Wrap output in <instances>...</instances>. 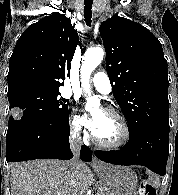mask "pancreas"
<instances>
[{
    "label": "pancreas",
    "mask_w": 178,
    "mask_h": 195,
    "mask_svg": "<svg viewBox=\"0 0 178 195\" xmlns=\"http://www.w3.org/2000/svg\"><path fill=\"white\" fill-rule=\"evenodd\" d=\"M96 195H103L101 192H98Z\"/></svg>",
    "instance_id": "1"
}]
</instances>
